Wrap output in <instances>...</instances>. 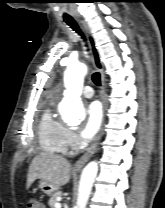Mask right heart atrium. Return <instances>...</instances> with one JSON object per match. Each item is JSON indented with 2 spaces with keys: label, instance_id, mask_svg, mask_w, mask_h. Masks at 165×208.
Returning a JSON list of instances; mask_svg holds the SVG:
<instances>
[{
  "label": "right heart atrium",
  "instance_id": "1",
  "mask_svg": "<svg viewBox=\"0 0 165 208\" xmlns=\"http://www.w3.org/2000/svg\"><path fill=\"white\" fill-rule=\"evenodd\" d=\"M67 142H68L69 148H71V149H74L78 145L77 136L70 129H68V131H67Z\"/></svg>",
  "mask_w": 165,
  "mask_h": 208
}]
</instances>
